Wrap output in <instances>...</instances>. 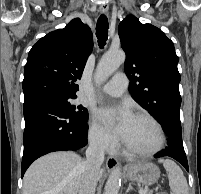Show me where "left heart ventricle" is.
Returning <instances> with one entry per match:
<instances>
[{"label": "left heart ventricle", "instance_id": "left-heart-ventricle-1", "mask_svg": "<svg viewBox=\"0 0 201 194\" xmlns=\"http://www.w3.org/2000/svg\"><path fill=\"white\" fill-rule=\"evenodd\" d=\"M124 141L134 149L148 151L158 144L159 136L149 120L134 116Z\"/></svg>", "mask_w": 201, "mask_h": 194}]
</instances>
